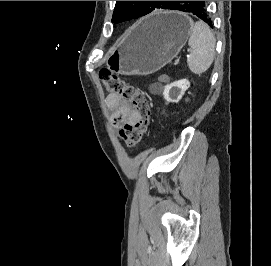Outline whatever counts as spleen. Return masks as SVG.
I'll list each match as a JSON object with an SVG mask.
<instances>
[{
	"mask_svg": "<svg viewBox=\"0 0 271 266\" xmlns=\"http://www.w3.org/2000/svg\"><path fill=\"white\" fill-rule=\"evenodd\" d=\"M216 40L208 25L198 21L192 25L188 40L191 52L187 57V65L191 72L201 75L213 63Z\"/></svg>",
	"mask_w": 271,
	"mask_h": 266,
	"instance_id": "1",
	"label": "spleen"
}]
</instances>
